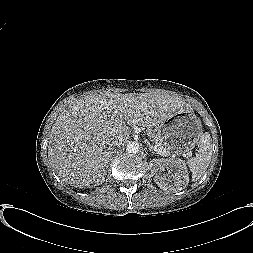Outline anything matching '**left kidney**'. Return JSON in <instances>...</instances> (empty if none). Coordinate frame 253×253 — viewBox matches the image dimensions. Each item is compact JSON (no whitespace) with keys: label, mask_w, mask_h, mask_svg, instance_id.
<instances>
[{"label":"left kidney","mask_w":253,"mask_h":253,"mask_svg":"<svg viewBox=\"0 0 253 253\" xmlns=\"http://www.w3.org/2000/svg\"><path fill=\"white\" fill-rule=\"evenodd\" d=\"M154 180L161 188L181 191L189 182L188 170L184 163L168 159H154L152 161ZM167 169L170 173L166 178L162 172Z\"/></svg>","instance_id":"obj_1"}]
</instances>
